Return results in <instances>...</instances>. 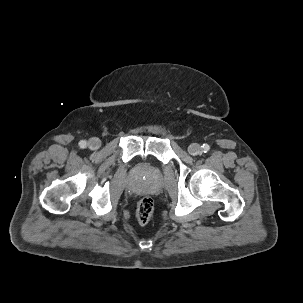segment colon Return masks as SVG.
I'll return each instance as SVG.
<instances>
[{
    "label": "colon",
    "mask_w": 303,
    "mask_h": 303,
    "mask_svg": "<svg viewBox=\"0 0 303 303\" xmlns=\"http://www.w3.org/2000/svg\"><path fill=\"white\" fill-rule=\"evenodd\" d=\"M154 210V203L150 197H143L137 206L136 218L141 225H146L150 222Z\"/></svg>",
    "instance_id": "5ec220e1"
}]
</instances>
